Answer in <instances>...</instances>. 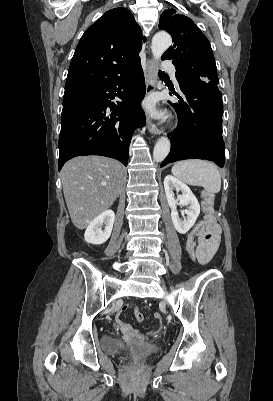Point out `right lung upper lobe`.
<instances>
[{
  "label": "right lung upper lobe",
  "mask_w": 273,
  "mask_h": 401,
  "mask_svg": "<svg viewBox=\"0 0 273 401\" xmlns=\"http://www.w3.org/2000/svg\"><path fill=\"white\" fill-rule=\"evenodd\" d=\"M142 34L131 12L114 8L81 37L67 75L64 98L97 88L140 61Z\"/></svg>",
  "instance_id": "1"
}]
</instances>
